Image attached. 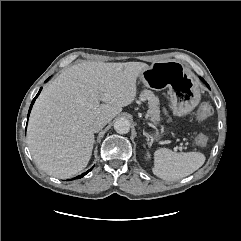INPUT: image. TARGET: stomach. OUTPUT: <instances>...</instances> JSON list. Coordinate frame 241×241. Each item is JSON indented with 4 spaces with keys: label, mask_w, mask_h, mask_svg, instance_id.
Wrapping results in <instances>:
<instances>
[{
    "label": "stomach",
    "mask_w": 241,
    "mask_h": 241,
    "mask_svg": "<svg viewBox=\"0 0 241 241\" xmlns=\"http://www.w3.org/2000/svg\"><path fill=\"white\" fill-rule=\"evenodd\" d=\"M140 81L148 88L156 91L169 89L171 108L176 116L190 113L200 101V92L181 62L175 60L154 62L139 75ZM155 134L159 139L163 134Z\"/></svg>",
    "instance_id": "0dacf381"
}]
</instances>
